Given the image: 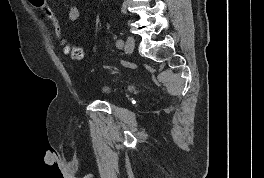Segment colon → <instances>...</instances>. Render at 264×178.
Instances as JSON below:
<instances>
[{
  "instance_id": "obj_1",
  "label": "colon",
  "mask_w": 264,
  "mask_h": 178,
  "mask_svg": "<svg viewBox=\"0 0 264 178\" xmlns=\"http://www.w3.org/2000/svg\"><path fill=\"white\" fill-rule=\"evenodd\" d=\"M35 8L39 9L45 20L52 27L55 35L60 40L63 51L72 59L81 60L84 57V51L80 47L70 45L64 37L62 25L57 16L46 6L45 0H28Z\"/></svg>"
}]
</instances>
